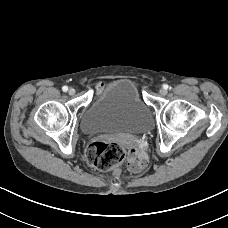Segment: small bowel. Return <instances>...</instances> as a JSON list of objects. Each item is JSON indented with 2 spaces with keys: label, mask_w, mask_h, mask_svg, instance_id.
I'll use <instances>...</instances> for the list:
<instances>
[{
  "label": "small bowel",
  "mask_w": 228,
  "mask_h": 228,
  "mask_svg": "<svg viewBox=\"0 0 228 228\" xmlns=\"http://www.w3.org/2000/svg\"><path fill=\"white\" fill-rule=\"evenodd\" d=\"M148 157L142 150L131 149L128 155V169L133 173H138L146 168Z\"/></svg>",
  "instance_id": "1"
}]
</instances>
